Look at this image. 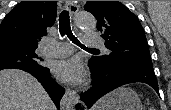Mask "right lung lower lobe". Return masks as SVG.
I'll return each instance as SVG.
<instances>
[{
	"label": "right lung lower lobe",
	"mask_w": 171,
	"mask_h": 110,
	"mask_svg": "<svg viewBox=\"0 0 171 110\" xmlns=\"http://www.w3.org/2000/svg\"><path fill=\"white\" fill-rule=\"evenodd\" d=\"M22 70L32 74L48 92L55 105L59 107L60 100L65 90L52 79L48 68H23Z\"/></svg>",
	"instance_id": "obj_1"
}]
</instances>
